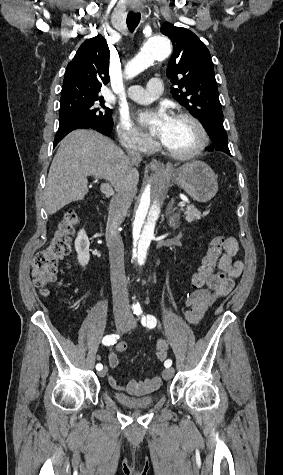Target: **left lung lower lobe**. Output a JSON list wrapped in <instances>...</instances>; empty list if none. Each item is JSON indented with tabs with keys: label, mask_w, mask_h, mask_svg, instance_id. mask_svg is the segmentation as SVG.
<instances>
[{
	"label": "left lung lower lobe",
	"mask_w": 283,
	"mask_h": 475,
	"mask_svg": "<svg viewBox=\"0 0 283 475\" xmlns=\"http://www.w3.org/2000/svg\"><path fill=\"white\" fill-rule=\"evenodd\" d=\"M205 129L212 142L210 147H208L206 150L209 152L220 151L231 156L227 143L228 137L223 123L207 124Z\"/></svg>",
	"instance_id": "left-lung-lower-lobe-1"
}]
</instances>
